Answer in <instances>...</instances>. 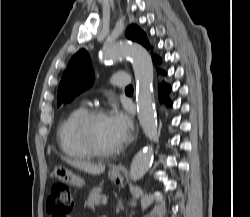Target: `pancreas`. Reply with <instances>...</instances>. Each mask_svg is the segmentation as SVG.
Listing matches in <instances>:
<instances>
[{
	"label": "pancreas",
	"instance_id": "obj_1",
	"mask_svg": "<svg viewBox=\"0 0 250 217\" xmlns=\"http://www.w3.org/2000/svg\"><path fill=\"white\" fill-rule=\"evenodd\" d=\"M100 193H101V188H94L90 192L88 199L85 202V207L94 208L95 205H99L102 198Z\"/></svg>",
	"mask_w": 250,
	"mask_h": 217
}]
</instances>
